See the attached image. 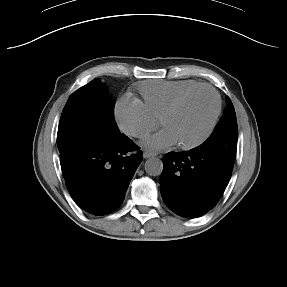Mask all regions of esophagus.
<instances>
[{"instance_id": "obj_1", "label": "esophagus", "mask_w": 287, "mask_h": 287, "mask_svg": "<svg viewBox=\"0 0 287 287\" xmlns=\"http://www.w3.org/2000/svg\"><path fill=\"white\" fill-rule=\"evenodd\" d=\"M154 156H156V154L152 153V152H144L143 153V157L144 158H151V157H154Z\"/></svg>"}]
</instances>
